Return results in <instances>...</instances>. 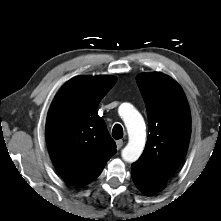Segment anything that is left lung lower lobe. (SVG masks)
<instances>
[{"label":"left lung lower lobe","instance_id":"0a47b994","mask_svg":"<svg viewBox=\"0 0 221 221\" xmlns=\"http://www.w3.org/2000/svg\"><path fill=\"white\" fill-rule=\"evenodd\" d=\"M132 179L136 186L145 194L157 193L162 190L167 183V180L154 176L136 163L132 164Z\"/></svg>","mask_w":221,"mask_h":221}]
</instances>
